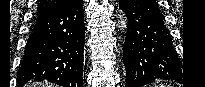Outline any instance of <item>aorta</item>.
<instances>
[{
    "label": "aorta",
    "mask_w": 205,
    "mask_h": 87,
    "mask_svg": "<svg viewBox=\"0 0 205 87\" xmlns=\"http://www.w3.org/2000/svg\"><path fill=\"white\" fill-rule=\"evenodd\" d=\"M120 23H121L122 29L126 28L127 21L124 15L120 16Z\"/></svg>",
    "instance_id": "aorta-1"
}]
</instances>
